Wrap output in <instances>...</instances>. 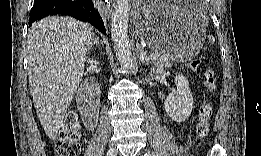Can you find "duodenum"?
<instances>
[{
  "mask_svg": "<svg viewBox=\"0 0 261 156\" xmlns=\"http://www.w3.org/2000/svg\"><path fill=\"white\" fill-rule=\"evenodd\" d=\"M79 110L86 120L95 122L100 104L98 87L95 82L88 81L78 94Z\"/></svg>",
  "mask_w": 261,
  "mask_h": 156,
  "instance_id": "410a0bca",
  "label": "duodenum"
}]
</instances>
